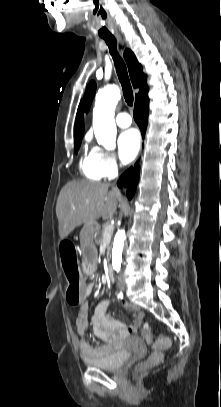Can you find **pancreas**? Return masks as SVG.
I'll list each match as a JSON object with an SVG mask.
<instances>
[{
  "label": "pancreas",
  "instance_id": "pancreas-1",
  "mask_svg": "<svg viewBox=\"0 0 221 407\" xmlns=\"http://www.w3.org/2000/svg\"><path fill=\"white\" fill-rule=\"evenodd\" d=\"M103 232H104V230L99 233V236H98L97 239L95 240V242H96L97 245H100V244H102V242H103V236H102V235H103Z\"/></svg>",
  "mask_w": 221,
  "mask_h": 407
}]
</instances>
